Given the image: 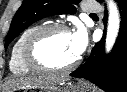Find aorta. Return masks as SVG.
<instances>
[{"label":"aorta","mask_w":127,"mask_h":92,"mask_svg":"<svg viewBox=\"0 0 127 92\" xmlns=\"http://www.w3.org/2000/svg\"><path fill=\"white\" fill-rule=\"evenodd\" d=\"M109 8L108 27L106 36V51L109 52L118 36L120 28V16L116 3L112 0L107 1Z\"/></svg>","instance_id":"762f6f07"}]
</instances>
